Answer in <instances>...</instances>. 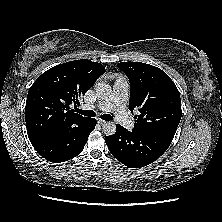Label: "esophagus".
I'll list each match as a JSON object with an SVG mask.
<instances>
[{
    "mask_svg": "<svg viewBox=\"0 0 222 222\" xmlns=\"http://www.w3.org/2000/svg\"><path fill=\"white\" fill-rule=\"evenodd\" d=\"M98 123L101 124V125H103V124L106 123V121H104V120H102V119H98Z\"/></svg>",
    "mask_w": 222,
    "mask_h": 222,
    "instance_id": "obj_1",
    "label": "esophagus"
}]
</instances>
